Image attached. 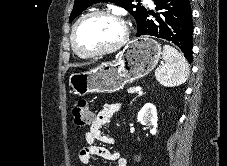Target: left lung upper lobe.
<instances>
[{"label":"left lung upper lobe","mask_w":227,"mask_h":166,"mask_svg":"<svg viewBox=\"0 0 227 166\" xmlns=\"http://www.w3.org/2000/svg\"><path fill=\"white\" fill-rule=\"evenodd\" d=\"M133 1L134 0H75V4L70 15L69 21L71 22L81 12H83L86 8H88L94 3L113 2L129 11L135 18L137 26L139 27L145 17L147 9L140 5H134Z\"/></svg>","instance_id":"5c2ea615"}]
</instances>
